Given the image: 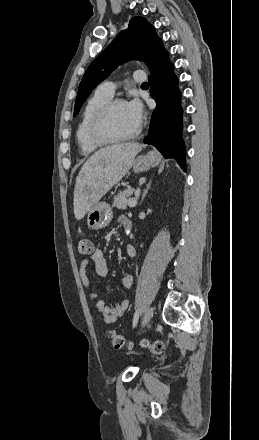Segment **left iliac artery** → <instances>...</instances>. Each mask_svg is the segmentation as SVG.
<instances>
[{
  "label": "left iliac artery",
  "mask_w": 259,
  "mask_h": 440,
  "mask_svg": "<svg viewBox=\"0 0 259 440\" xmlns=\"http://www.w3.org/2000/svg\"><path fill=\"white\" fill-rule=\"evenodd\" d=\"M138 319H139V313H138V311H136V313L134 314V318H133V327L136 326Z\"/></svg>",
  "instance_id": "left-iliac-artery-1"
}]
</instances>
